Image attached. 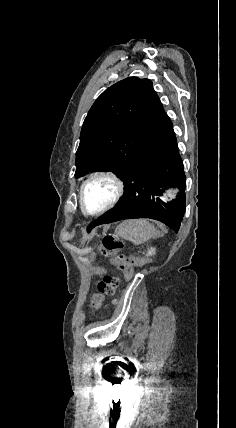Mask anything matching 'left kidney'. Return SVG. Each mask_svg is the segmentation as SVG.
I'll list each match as a JSON object with an SVG mask.
<instances>
[{"mask_svg":"<svg viewBox=\"0 0 236 428\" xmlns=\"http://www.w3.org/2000/svg\"><path fill=\"white\" fill-rule=\"evenodd\" d=\"M155 254V248H150L149 252H147V256H153Z\"/></svg>","mask_w":236,"mask_h":428,"instance_id":"5707ae66","label":"left kidney"}]
</instances>
